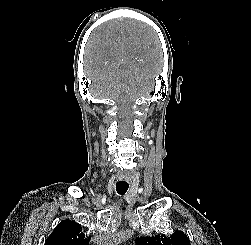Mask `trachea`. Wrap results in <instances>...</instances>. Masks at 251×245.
Wrapping results in <instances>:
<instances>
[{
	"instance_id": "trachea-1",
	"label": "trachea",
	"mask_w": 251,
	"mask_h": 245,
	"mask_svg": "<svg viewBox=\"0 0 251 245\" xmlns=\"http://www.w3.org/2000/svg\"><path fill=\"white\" fill-rule=\"evenodd\" d=\"M128 183L127 182H123V181H119L116 183V191L119 194H125L128 190Z\"/></svg>"
}]
</instances>
